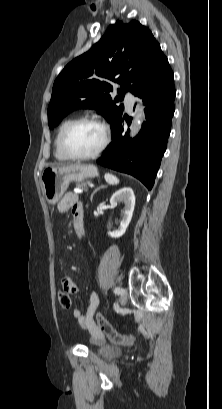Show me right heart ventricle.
I'll return each instance as SVG.
<instances>
[{
  "label": "right heart ventricle",
  "mask_w": 222,
  "mask_h": 409,
  "mask_svg": "<svg viewBox=\"0 0 222 409\" xmlns=\"http://www.w3.org/2000/svg\"><path fill=\"white\" fill-rule=\"evenodd\" d=\"M76 119H77V116H69L66 119H64L60 123V125L58 127L57 134H56V137H55V142H54V148H55L54 149V155H55L57 160H60V161H67L68 160V158L63 154V152L61 150V146H60L61 137H62V134H63L64 130Z\"/></svg>",
  "instance_id": "obj_1"
}]
</instances>
